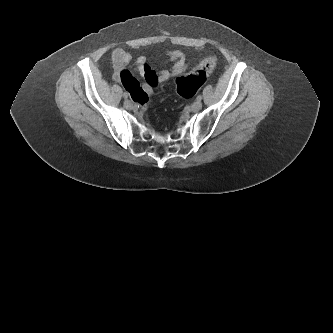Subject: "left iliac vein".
Listing matches in <instances>:
<instances>
[{
	"mask_svg": "<svg viewBox=\"0 0 333 333\" xmlns=\"http://www.w3.org/2000/svg\"><path fill=\"white\" fill-rule=\"evenodd\" d=\"M202 108V102L197 100L196 102H194L191 106V110L193 112H197Z\"/></svg>",
	"mask_w": 333,
	"mask_h": 333,
	"instance_id": "obj_1",
	"label": "left iliac vein"
}]
</instances>
